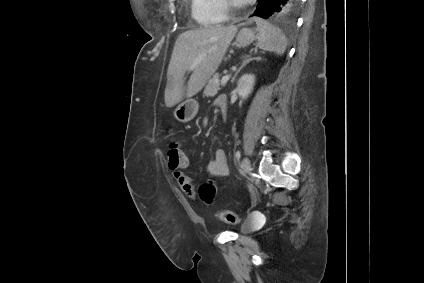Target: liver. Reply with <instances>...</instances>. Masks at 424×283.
I'll return each instance as SVG.
<instances>
[{"label": "liver", "instance_id": "6515ba94", "mask_svg": "<svg viewBox=\"0 0 424 283\" xmlns=\"http://www.w3.org/2000/svg\"><path fill=\"white\" fill-rule=\"evenodd\" d=\"M238 28L236 26H212L191 29L176 39L168 67L165 89V105L172 107L183 97L196 95L218 69ZM192 71L187 87L184 75Z\"/></svg>", "mask_w": 424, "mask_h": 283}]
</instances>
